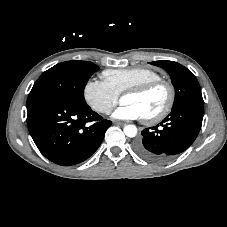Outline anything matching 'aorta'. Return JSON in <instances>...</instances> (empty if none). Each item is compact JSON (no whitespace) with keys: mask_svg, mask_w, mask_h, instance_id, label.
Wrapping results in <instances>:
<instances>
[{"mask_svg":"<svg viewBox=\"0 0 227 227\" xmlns=\"http://www.w3.org/2000/svg\"><path fill=\"white\" fill-rule=\"evenodd\" d=\"M123 131L124 134L130 138L135 137L137 135V128L135 125H125Z\"/></svg>","mask_w":227,"mask_h":227,"instance_id":"aorta-1","label":"aorta"}]
</instances>
